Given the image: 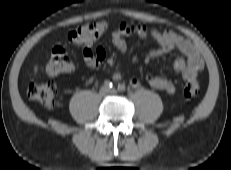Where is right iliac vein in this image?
I'll list each match as a JSON object with an SVG mask.
<instances>
[{
    "label": "right iliac vein",
    "instance_id": "obj_1",
    "mask_svg": "<svg viewBox=\"0 0 231 170\" xmlns=\"http://www.w3.org/2000/svg\"><path fill=\"white\" fill-rule=\"evenodd\" d=\"M100 94L102 96H105L108 94V89L106 87H102L101 90H100Z\"/></svg>",
    "mask_w": 231,
    "mask_h": 170
}]
</instances>
